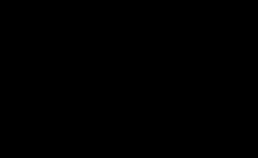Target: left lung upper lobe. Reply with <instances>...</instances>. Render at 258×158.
I'll list each match as a JSON object with an SVG mask.
<instances>
[{
	"mask_svg": "<svg viewBox=\"0 0 258 158\" xmlns=\"http://www.w3.org/2000/svg\"><path fill=\"white\" fill-rule=\"evenodd\" d=\"M159 33L175 48L178 55L177 66L183 62L193 50L200 47L189 40L186 36L176 31L162 29L159 31Z\"/></svg>",
	"mask_w": 258,
	"mask_h": 158,
	"instance_id": "obj_1",
	"label": "left lung upper lobe"
}]
</instances>
